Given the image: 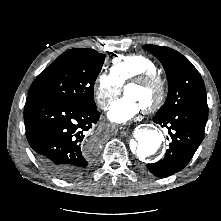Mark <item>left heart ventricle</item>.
<instances>
[{
	"instance_id": "obj_1",
	"label": "left heart ventricle",
	"mask_w": 221,
	"mask_h": 221,
	"mask_svg": "<svg viewBox=\"0 0 221 221\" xmlns=\"http://www.w3.org/2000/svg\"><path fill=\"white\" fill-rule=\"evenodd\" d=\"M125 95L135 99L143 108L153 101L157 96V90L153 86H129L125 90Z\"/></svg>"
}]
</instances>
